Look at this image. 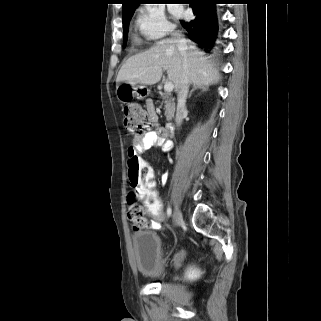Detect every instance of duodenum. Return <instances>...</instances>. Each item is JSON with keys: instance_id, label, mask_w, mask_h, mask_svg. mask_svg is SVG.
<instances>
[{"instance_id": "1", "label": "duodenum", "mask_w": 321, "mask_h": 321, "mask_svg": "<svg viewBox=\"0 0 321 321\" xmlns=\"http://www.w3.org/2000/svg\"><path fill=\"white\" fill-rule=\"evenodd\" d=\"M174 132V126L172 123H168L164 128V133L167 136H171Z\"/></svg>"}]
</instances>
